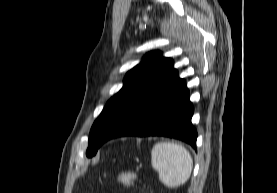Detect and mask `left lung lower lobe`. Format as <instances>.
Listing matches in <instances>:
<instances>
[{"instance_id":"1","label":"left lung lower lobe","mask_w":277,"mask_h":193,"mask_svg":"<svg viewBox=\"0 0 277 193\" xmlns=\"http://www.w3.org/2000/svg\"><path fill=\"white\" fill-rule=\"evenodd\" d=\"M193 111L186 83L176 73L130 105L104 134L102 144L121 136H167L196 148Z\"/></svg>"}]
</instances>
